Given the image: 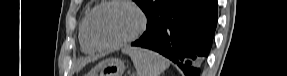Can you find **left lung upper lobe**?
Listing matches in <instances>:
<instances>
[{"mask_svg": "<svg viewBox=\"0 0 287 76\" xmlns=\"http://www.w3.org/2000/svg\"><path fill=\"white\" fill-rule=\"evenodd\" d=\"M146 14L147 18L157 9L165 5L170 0H134Z\"/></svg>", "mask_w": 287, "mask_h": 76, "instance_id": "obj_1", "label": "left lung upper lobe"}]
</instances>
